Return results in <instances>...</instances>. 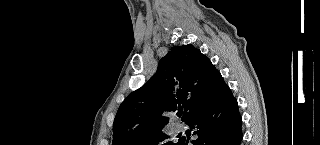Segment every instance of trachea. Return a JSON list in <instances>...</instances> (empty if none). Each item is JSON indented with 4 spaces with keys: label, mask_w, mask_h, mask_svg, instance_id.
<instances>
[{
    "label": "trachea",
    "mask_w": 320,
    "mask_h": 145,
    "mask_svg": "<svg viewBox=\"0 0 320 145\" xmlns=\"http://www.w3.org/2000/svg\"><path fill=\"white\" fill-rule=\"evenodd\" d=\"M177 116H178V117H181V116H182V111H179V112L177 113Z\"/></svg>",
    "instance_id": "obj_1"
}]
</instances>
